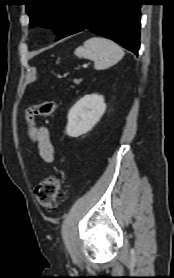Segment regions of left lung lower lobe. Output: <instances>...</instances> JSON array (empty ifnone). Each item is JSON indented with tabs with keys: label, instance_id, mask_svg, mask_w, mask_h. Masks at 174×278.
Returning a JSON list of instances; mask_svg holds the SVG:
<instances>
[{
	"label": "left lung lower lobe",
	"instance_id": "0a47b994",
	"mask_svg": "<svg viewBox=\"0 0 174 278\" xmlns=\"http://www.w3.org/2000/svg\"><path fill=\"white\" fill-rule=\"evenodd\" d=\"M141 5L142 0H79L77 10L56 40L89 29L138 54Z\"/></svg>",
	"mask_w": 174,
	"mask_h": 278
}]
</instances>
